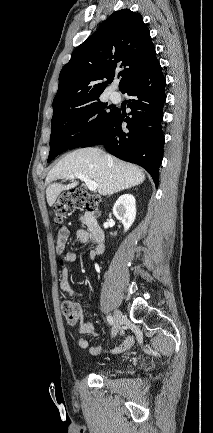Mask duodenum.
Returning a JSON list of instances; mask_svg holds the SVG:
<instances>
[{
	"instance_id": "obj_1",
	"label": "duodenum",
	"mask_w": 213,
	"mask_h": 433,
	"mask_svg": "<svg viewBox=\"0 0 213 433\" xmlns=\"http://www.w3.org/2000/svg\"><path fill=\"white\" fill-rule=\"evenodd\" d=\"M88 226L92 239L97 244L104 243V231L97 223L93 213L89 212Z\"/></svg>"
}]
</instances>
